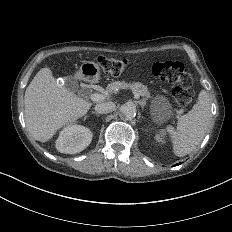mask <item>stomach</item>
<instances>
[{"label": "stomach", "instance_id": "stomach-1", "mask_svg": "<svg viewBox=\"0 0 232 232\" xmlns=\"http://www.w3.org/2000/svg\"><path fill=\"white\" fill-rule=\"evenodd\" d=\"M80 72L87 81H98L100 78V67L95 62H83L80 67Z\"/></svg>", "mask_w": 232, "mask_h": 232}]
</instances>
